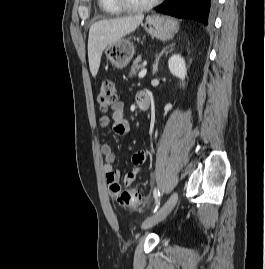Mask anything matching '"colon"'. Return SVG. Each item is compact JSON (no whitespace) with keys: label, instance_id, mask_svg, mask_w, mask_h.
Returning <instances> with one entry per match:
<instances>
[{"label":"colon","instance_id":"5ec220e1","mask_svg":"<svg viewBox=\"0 0 265 269\" xmlns=\"http://www.w3.org/2000/svg\"><path fill=\"white\" fill-rule=\"evenodd\" d=\"M97 100L102 111L114 108L117 101V91L113 80L106 79L101 83ZM110 191L119 203L125 207H137L143 202V196L139 190L121 192L118 187H111Z\"/></svg>","mask_w":265,"mask_h":269}]
</instances>
